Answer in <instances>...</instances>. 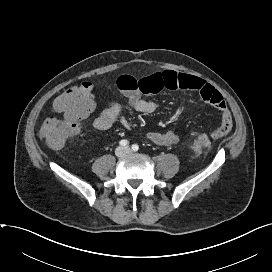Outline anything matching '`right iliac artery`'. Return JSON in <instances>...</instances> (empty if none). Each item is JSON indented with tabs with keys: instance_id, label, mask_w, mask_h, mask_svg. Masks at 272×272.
<instances>
[{
	"instance_id": "82829eb1",
	"label": "right iliac artery",
	"mask_w": 272,
	"mask_h": 272,
	"mask_svg": "<svg viewBox=\"0 0 272 272\" xmlns=\"http://www.w3.org/2000/svg\"><path fill=\"white\" fill-rule=\"evenodd\" d=\"M119 144H120L121 146H127V145L129 144V142H128L127 140L123 139V140H121V141L119 142Z\"/></svg>"
}]
</instances>
